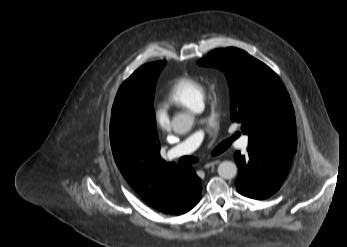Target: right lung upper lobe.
<instances>
[{
	"instance_id": "1",
	"label": "right lung upper lobe",
	"mask_w": 347,
	"mask_h": 247,
	"mask_svg": "<svg viewBox=\"0 0 347 247\" xmlns=\"http://www.w3.org/2000/svg\"><path fill=\"white\" fill-rule=\"evenodd\" d=\"M110 142L115 162L128 183L156 210L171 212L194 187L185 166L162 159L158 134L133 133L112 120Z\"/></svg>"
}]
</instances>
